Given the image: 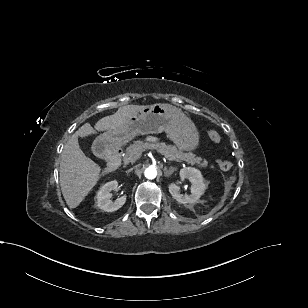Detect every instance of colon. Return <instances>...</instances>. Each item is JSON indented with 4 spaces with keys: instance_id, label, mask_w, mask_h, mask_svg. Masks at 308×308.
Wrapping results in <instances>:
<instances>
[{
    "instance_id": "5ec220e1",
    "label": "colon",
    "mask_w": 308,
    "mask_h": 308,
    "mask_svg": "<svg viewBox=\"0 0 308 308\" xmlns=\"http://www.w3.org/2000/svg\"><path fill=\"white\" fill-rule=\"evenodd\" d=\"M208 136L210 138L211 141H213L214 143H219L221 141V136L218 132H216L215 130H209L208 131ZM218 166L221 170L223 171H227L229 169L232 168V162L229 160H224V159H220L218 160Z\"/></svg>"
}]
</instances>
